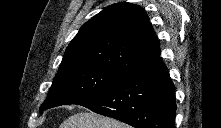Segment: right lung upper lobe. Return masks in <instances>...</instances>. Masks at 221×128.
I'll list each match as a JSON object with an SVG mask.
<instances>
[{
    "mask_svg": "<svg viewBox=\"0 0 221 128\" xmlns=\"http://www.w3.org/2000/svg\"><path fill=\"white\" fill-rule=\"evenodd\" d=\"M159 56V42L147 14L138 5L120 2L80 28L58 71L98 67L125 75Z\"/></svg>",
    "mask_w": 221,
    "mask_h": 128,
    "instance_id": "right-lung-upper-lobe-1",
    "label": "right lung upper lobe"
}]
</instances>
